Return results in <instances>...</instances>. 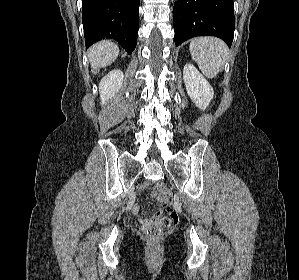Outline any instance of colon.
Instances as JSON below:
<instances>
[{
	"label": "colon",
	"instance_id": "obj_1",
	"mask_svg": "<svg viewBox=\"0 0 299 280\" xmlns=\"http://www.w3.org/2000/svg\"><path fill=\"white\" fill-rule=\"evenodd\" d=\"M157 187L162 194L160 199L164 202L165 214H156L146 228L147 235L151 241H157L164 229L176 225L179 220L178 214L173 209L172 200L167 196L166 187L161 183Z\"/></svg>",
	"mask_w": 299,
	"mask_h": 280
}]
</instances>
